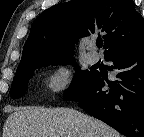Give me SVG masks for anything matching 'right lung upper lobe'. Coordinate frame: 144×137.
I'll return each mask as SVG.
<instances>
[{"instance_id":"1","label":"right lung upper lobe","mask_w":144,"mask_h":137,"mask_svg":"<svg viewBox=\"0 0 144 137\" xmlns=\"http://www.w3.org/2000/svg\"><path fill=\"white\" fill-rule=\"evenodd\" d=\"M103 34L105 55L144 38V19L132 0H72L35 19L20 65L37 59L73 56L80 38Z\"/></svg>"}]
</instances>
